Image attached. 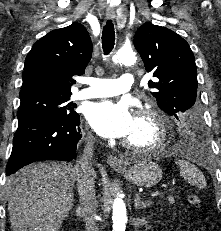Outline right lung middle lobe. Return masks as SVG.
Wrapping results in <instances>:
<instances>
[{
	"instance_id": "dd1d6c3e",
	"label": "right lung middle lobe",
	"mask_w": 221,
	"mask_h": 231,
	"mask_svg": "<svg viewBox=\"0 0 221 231\" xmlns=\"http://www.w3.org/2000/svg\"><path fill=\"white\" fill-rule=\"evenodd\" d=\"M39 113H51L67 118L78 116L72 107V103H69V96L42 95L21 99L17 113L19 120Z\"/></svg>"
}]
</instances>
